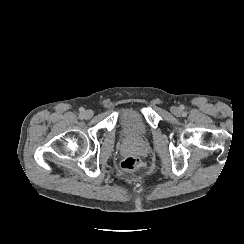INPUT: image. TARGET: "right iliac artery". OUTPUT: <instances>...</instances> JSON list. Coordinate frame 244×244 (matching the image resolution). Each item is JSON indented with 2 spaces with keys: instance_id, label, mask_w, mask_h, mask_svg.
<instances>
[{
  "instance_id": "right-iliac-artery-1",
  "label": "right iliac artery",
  "mask_w": 244,
  "mask_h": 244,
  "mask_svg": "<svg viewBox=\"0 0 244 244\" xmlns=\"http://www.w3.org/2000/svg\"><path fill=\"white\" fill-rule=\"evenodd\" d=\"M79 111H80L81 113H83V112H84V108L81 107V108L79 109Z\"/></svg>"
}]
</instances>
